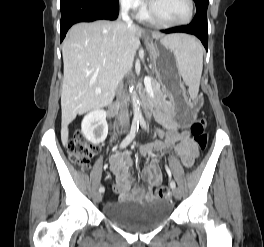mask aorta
Masks as SVG:
<instances>
[{
	"label": "aorta",
	"instance_id": "obj_1",
	"mask_svg": "<svg viewBox=\"0 0 264 247\" xmlns=\"http://www.w3.org/2000/svg\"><path fill=\"white\" fill-rule=\"evenodd\" d=\"M129 91L131 93V99H132V104H133V113H134V120L135 121H141L143 120L142 112L140 109V102L137 97V93L134 90V86L132 85L129 87Z\"/></svg>",
	"mask_w": 264,
	"mask_h": 247
}]
</instances>
